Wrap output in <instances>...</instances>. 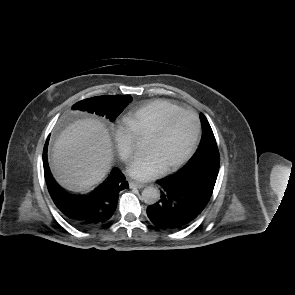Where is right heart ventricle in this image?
<instances>
[{
  "instance_id": "right-heart-ventricle-1",
  "label": "right heart ventricle",
  "mask_w": 295,
  "mask_h": 295,
  "mask_svg": "<svg viewBox=\"0 0 295 295\" xmlns=\"http://www.w3.org/2000/svg\"><path fill=\"white\" fill-rule=\"evenodd\" d=\"M180 109L171 101L154 100L128 112L123 122L134 137H148L167 115Z\"/></svg>"
}]
</instances>
